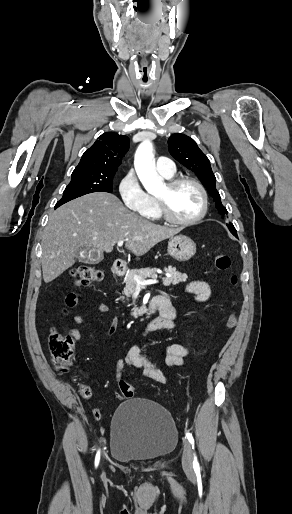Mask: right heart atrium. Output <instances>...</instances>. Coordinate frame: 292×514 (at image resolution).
<instances>
[{
	"instance_id": "obj_1",
	"label": "right heart atrium",
	"mask_w": 292,
	"mask_h": 514,
	"mask_svg": "<svg viewBox=\"0 0 292 514\" xmlns=\"http://www.w3.org/2000/svg\"><path fill=\"white\" fill-rule=\"evenodd\" d=\"M118 195L124 200L126 209H139L142 211L148 202V194L140 184L133 170L127 171L118 182Z\"/></svg>"
}]
</instances>
